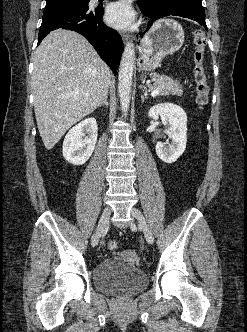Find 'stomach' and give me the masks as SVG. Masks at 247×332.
I'll use <instances>...</instances> for the list:
<instances>
[{
	"mask_svg": "<svg viewBox=\"0 0 247 332\" xmlns=\"http://www.w3.org/2000/svg\"><path fill=\"white\" fill-rule=\"evenodd\" d=\"M181 25L172 19H161L144 35L141 41L138 67L147 72L159 66L162 59L178 51L184 43Z\"/></svg>",
	"mask_w": 247,
	"mask_h": 332,
	"instance_id": "stomach-1",
	"label": "stomach"
}]
</instances>
